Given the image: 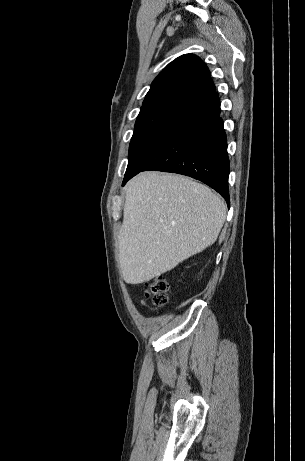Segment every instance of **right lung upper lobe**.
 Returning <instances> with one entry per match:
<instances>
[{"label": "right lung upper lobe", "instance_id": "right-lung-upper-lobe-1", "mask_svg": "<svg viewBox=\"0 0 305 461\" xmlns=\"http://www.w3.org/2000/svg\"><path fill=\"white\" fill-rule=\"evenodd\" d=\"M215 86L208 67L194 54H185L169 63L154 79L141 109L161 105L190 108L211 94Z\"/></svg>", "mask_w": 305, "mask_h": 461}]
</instances>
